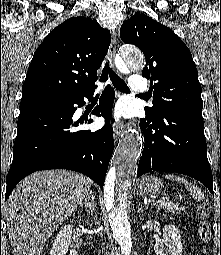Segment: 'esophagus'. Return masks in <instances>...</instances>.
<instances>
[{
  "instance_id": "obj_1",
  "label": "esophagus",
  "mask_w": 221,
  "mask_h": 255,
  "mask_svg": "<svg viewBox=\"0 0 221 255\" xmlns=\"http://www.w3.org/2000/svg\"><path fill=\"white\" fill-rule=\"evenodd\" d=\"M116 43H117V39H116V35H114L112 37L111 44L109 47V60L111 62V65H113L114 63V58L116 54ZM123 128H124V125L121 121L114 124L113 132H114L115 141H117L120 135L122 134Z\"/></svg>"
}]
</instances>
